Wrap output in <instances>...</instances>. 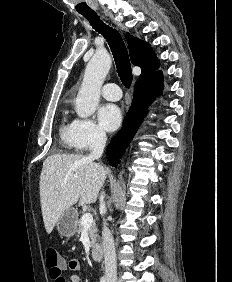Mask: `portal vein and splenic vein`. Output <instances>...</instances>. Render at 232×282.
I'll return each instance as SVG.
<instances>
[{
	"instance_id": "1",
	"label": "portal vein and splenic vein",
	"mask_w": 232,
	"mask_h": 282,
	"mask_svg": "<svg viewBox=\"0 0 232 282\" xmlns=\"http://www.w3.org/2000/svg\"><path fill=\"white\" fill-rule=\"evenodd\" d=\"M81 222L83 227H90L93 223V216L91 213H85L82 218Z\"/></svg>"
}]
</instances>
